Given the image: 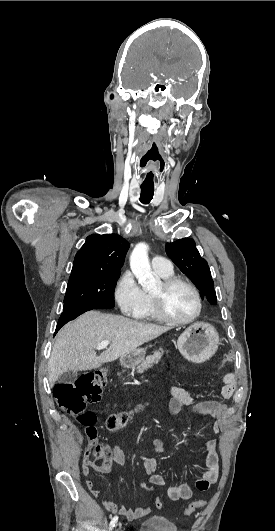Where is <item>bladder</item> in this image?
<instances>
[{"label": "bladder", "mask_w": 275, "mask_h": 531, "mask_svg": "<svg viewBox=\"0 0 275 531\" xmlns=\"http://www.w3.org/2000/svg\"><path fill=\"white\" fill-rule=\"evenodd\" d=\"M137 531H178L176 524L162 514H153L142 520Z\"/></svg>", "instance_id": "31cf9c89"}]
</instances>
